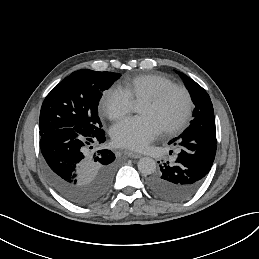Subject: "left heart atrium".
Segmentation results:
<instances>
[{
    "mask_svg": "<svg viewBox=\"0 0 259 259\" xmlns=\"http://www.w3.org/2000/svg\"><path fill=\"white\" fill-rule=\"evenodd\" d=\"M161 127L150 117L126 118L112 126L110 134L115 145L135 150L144 149L161 133Z\"/></svg>",
    "mask_w": 259,
    "mask_h": 259,
    "instance_id": "1",
    "label": "left heart atrium"
}]
</instances>
